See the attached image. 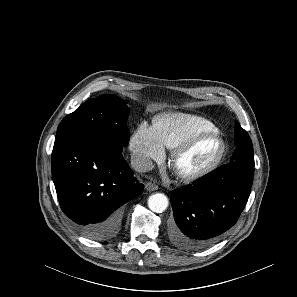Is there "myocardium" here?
<instances>
[{"instance_id": "obj_1", "label": "myocardium", "mask_w": 297, "mask_h": 297, "mask_svg": "<svg viewBox=\"0 0 297 297\" xmlns=\"http://www.w3.org/2000/svg\"><path fill=\"white\" fill-rule=\"evenodd\" d=\"M213 137L218 141L219 147L215 154V156L207 163L204 167L193 171V172H185L179 169L178 161L179 159L190 149H192L199 141ZM226 150V145L223 137L220 135L217 130H206L195 133L176 146L171 155H170V164L175 173V175L185 181V182H193L201 179L202 177L209 174L213 171L222 161Z\"/></svg>"}]
</instances>
